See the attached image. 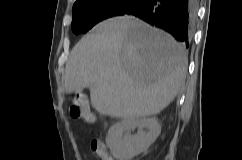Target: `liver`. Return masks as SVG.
Masks as SVG:
<instances>
[{
	"instance_id": "1",
	"label": "liver",
	"mask_w": 242,
	"mask_h": 160,
	"mask_svg": "<svg viewBox=\"0 0 242 160\" xmlns=\"http://www.w3.org/2000/svg\"><path fill=\"white\" fill-rule=\"evenodd\" d=\"M185 48L169 34L122 16L97 24L72 49L66 93L89 87L101 115L139 119L160 113L185 80Z\"/></svg>"
}]
</instances>
